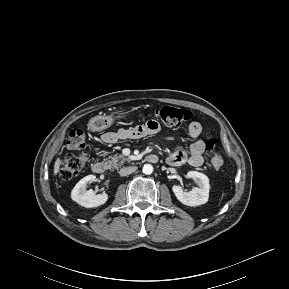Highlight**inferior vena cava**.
I'll return each instance as SVG.
<instances>
[{"instance_id": "obj_1", "label": "inferior vena cava", "mask_w": 289, "mask_h": 289, "mask_svg": "<svg viewBox=\"0 0 289 289\" xmlns=\"http://www.w3.org/2000/svg\"><path fill=\"white\" fill-rule=\"evenodd\" d=\"M137 170L136 166L124 167L119 170L120 176H127Z\"/></svg>"}]
</instances>
